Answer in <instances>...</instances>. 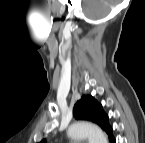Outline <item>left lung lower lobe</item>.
<instances>
[{
    "instance_id": "1",
    "label": "left lung lower lobe",
    "mask_w": 145,
    "mask_h": 143,
    "mask_svg": "<svg viewBox=\"0 0 145 143\" xmlns=\"http://www.w3.org/2000/svg\"><path fill=\"white\" fill-rule=\"evenodd\" d=\"M111 143H115L114 137L109 138Z\"/></svg>"
}]
</instances>
